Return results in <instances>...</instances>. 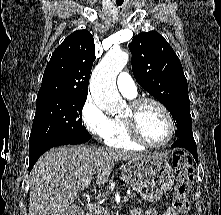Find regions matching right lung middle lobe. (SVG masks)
<instances>
[{"label":"right lung middle lobe","instance_id":"obj_1","mask_svg":"<svg viewBox=\"0 0 221 215\" xmlns=\"http://www.w3.org/2000/svg\"><path fill=\"white\" fill-rule=\"evenodd\" d=\"M87 97L62 96L36 103L29 150L46 142L69 140L88 133L81 112Z\"/></svg>","mask_w":221,"mask_h":215}]
</instances>
